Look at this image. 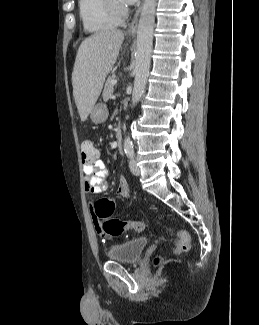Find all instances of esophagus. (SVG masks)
<instances>
[{"label": "esophagus", "instance_id": "1", "mask_svg": "<svg viewBox=\"0 0 259 325\" xmlns=\"http://www.w3.org/2000/svg\"><path fill=\"white\" fill-rule=\"evenodd\" d=\"M141 10H142V5L138 8V10L136 11L131 23L129 24V27H128V34L131 35V36H134L136 31H137V27H138V19H139V16H140V13H141Z\"/></svg>", "mask_w": 259, "mask_h": 325}]
</instances>
